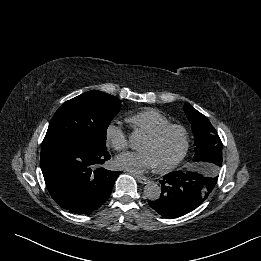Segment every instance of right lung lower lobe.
<instances>
[{
	"mask_svg": "<svg viewBox=\"0 0 261 261\" xmlns=\"http://www.w3.org/2000/svg\"><path fill=\"white\" fill-rule=\"evenodd\" d=\"M105 148L87 144L41 150V169L54 201L75 214H89L110 196L120 172L102 165L110 159Z\"/></svg>",
	"mask_w": 261,
	"mask_h": 261,
	"instance_id": "1",
	"label": "right lung lower lobe"
}]
</instances>
